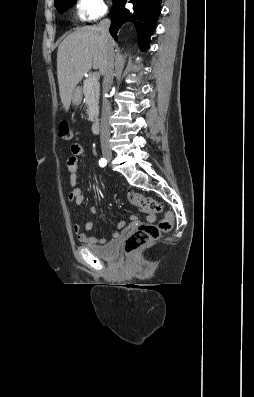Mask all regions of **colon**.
<instances>
[{"mask_svg": "<svg viewBox=\"0 0 254 397\" xmlns=\"http://www.w3.org/2000/svg\"><path fill=\"white\" fill-rule=\"evenodd\" d=\"M59 135L64 140H71L73 138V133L67 122H60ZM128 199L132 205L143 212L151 214L163 213L162 204L149 196L131 192L128 194ZM172 225L173 214L171 212H165L163 218L157 224H141L126 238L124 253L131 255L137 250L155 242L163 234L168 233Z\"/></svg>", "mask_w": 254, "mask_h": 397, "instance_id": "5ec220e1", "label": "colon"}]
</instances>
